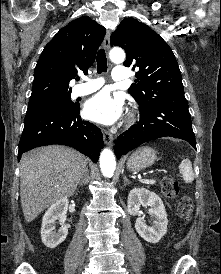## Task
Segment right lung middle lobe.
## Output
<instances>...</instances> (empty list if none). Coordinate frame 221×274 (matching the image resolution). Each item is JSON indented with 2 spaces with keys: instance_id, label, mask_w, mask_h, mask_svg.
<instances>
[{
  "instance_id": "obj_1",
  "label": "right lung middle lobe",
  "mask_w": 221,
  "mask_h": 274,
  "mask_svg": "<svg viewBox=\"0 0 221 274\" xmlns=\"http://www.w3.org/2000/svg\"><path fill=\"white\" fill-rule=\"evenodd\" d=\"M70 94L71 93L53 95L49 97L30 100V102L28 103L27 114L56 107H76L78 104L71 101Z\"/></svg>"
}]
</instances>
